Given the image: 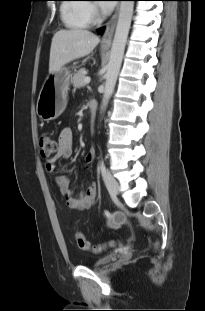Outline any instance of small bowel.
Returning a JSON list of instances; mask_svg holds the SVG:
<instances>
[{"instance_id":"c3829d8e","label":"small bowel","mask_w":205,"mask_h":311,"mask_svg":"<svg viewBox=\"0 0 205 311\" xmlns=\"http://www.w3.org/2000/svg\"><path fill=\"white\" fill-rule=\"evenodd\" d=\"M73 154V132L70 128H64L59 135V149L55 155L48 160H45V168L48 173L55 175L53 184L60 193L61 198L65 201L66 205L71 209H87L89 208L96 197L97 187L96 184L90 181L83 193L79 197L73 196L70 188L69 181L65 175H57L56 162L59 159H70ZM96 151L90 148L86 155V167L90 169L95 160Z\"/></svg>"}]
</instances>
